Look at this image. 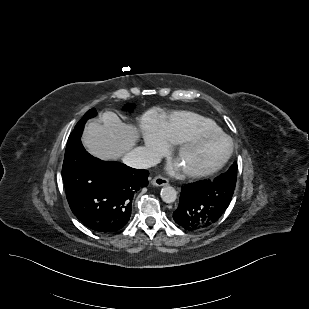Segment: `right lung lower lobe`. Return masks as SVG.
<instances>
[{"label": "right lung lower lobe", "mask_w": 309, "mask_h": 309, "mask_svg": "<svg viewBox=\"0 0 309 309\" xmlns=\"http://www.w3.org/2000/svg\"><path fill=\"white\" fill-rule=\"evenodd\" d=\"M84 124L74 128L67 142L62 168L67 200L85 226L113 233L128 223L133 196L148 185L149 172L91 156L80 140Z\"/></svg>", "instance_id": "1"}]
</instances>
